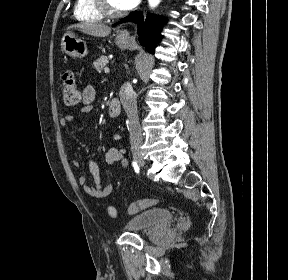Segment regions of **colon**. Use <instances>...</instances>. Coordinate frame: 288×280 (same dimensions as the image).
Listing matches in <instances>:
<instances>
[{
  "label": "colon",
  "mask_w": 288,
  "mask_h": 280,
  "mask_svg": "<svg viewBox=\"0 0 288 280\" xmlns=\"http://www.w3.org/2000/svg\"><path fill=\"white\" fill-rule=\"evenodd\" d=\"M63 103L68 108H74L78 105L81 96L77 88L75 75L72 71H66L63 75V90H62ZM158 203L155 198H146L136 202H133L128 207L130 214H135L140 210L154 206ZM108 215L111 218L117 216V210L114 206H109L107 209Z\"/></svg>",
  "instance_id": "colon-1"
}]
</instances>
